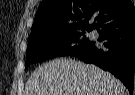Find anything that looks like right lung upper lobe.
Masks as SVG:
<instances>
[{"label":"right lung upper lobe","mask_w":135,"mask_h":95,"mask_svg":"<svg viewBox=\"0 0 135 95\" xmlns=\"http://www.w3.org/2000/svg\"><path fill=\"white\" fill-rule=\"evenodd\" d=\"M134 14L130 0H43L33 23L31 35L41 32L92 30ZM96 15L93 24L89 20Z\"/></svg>","instance_id":"1"}]
</instances>
